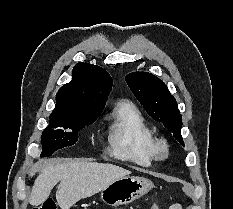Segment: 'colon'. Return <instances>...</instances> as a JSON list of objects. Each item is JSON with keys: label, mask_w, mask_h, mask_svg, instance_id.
<instances>
[{"label": "colon", "mask_w": 233, "mask_h": 209, "mask_svg": "<svg viewBox=\"0 0 233 209\" xmlns=\"http://www.w3.org/2000/svg\"><path fill=\"white\" fill-rule=\"evenodd\" d=\"M34 209H57V205L53 199H47L40 206ZM151 209H159V206L154 204Z\"/></svg>", "instance_id": "colon-1"}]
</instances>
